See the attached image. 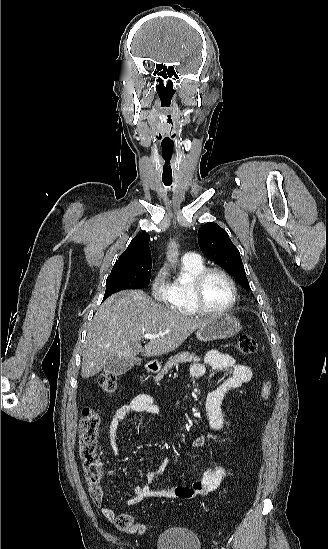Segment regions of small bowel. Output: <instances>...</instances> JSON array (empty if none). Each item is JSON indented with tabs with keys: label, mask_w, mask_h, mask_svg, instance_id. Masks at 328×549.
<instances>
[{
	"label": "small bowel",
	"mask_w": 328,
	"mask_h": 549,
	"mask_svg": "<svg viewBox=\"0 0 328 549\" xmlns=\"http://www.w3.org/2000/svg\"><path fill=\"white\" fill-rule=\"evenodd\" d=\"M206 365L216 371H229L231 376L224 381L216 390L210 392L205 400L208 429L216 432L223 427L222 402L232 391L252 379V369L243 363L238 362L230 354L211 350L206 353L202 362L193 363L190 367V374L195 378H201L205 374ZM132 414L160 415V410L154 403L153 398L148 394H140L130 402L120 406L113 414L107 427V436L111 441L113 451L119 454L117 446L118 429L122 422L127 421ZM207 443V434L197 436L191 447L202 448ZM170 462L168 457L161 460L159 466L145 475L146 484L137 486L134 495L126 502L128 506L139 504L149 497H163L168 499L189 500L198 496H205L215 491L227 477V470L223 466L206 469L198 479L193 480L189 485H172L166 488L152 489L150 484L154 483ZM110 477L115 476V471L107 472ZM104 515L114 514L111 509L103 508Z\"/></svg>",
	"instance_id": "c3829d8e"
}]
</instances>
